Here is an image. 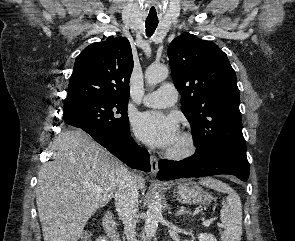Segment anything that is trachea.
I'll use <instances>...</instances> for the list:
<instances>
[{"label": "trachea", "mask_w": 295, "mask_h": 241, "mask_svg": "<svg viewBox=\"0 0 295 241\" xmlns=\"http://www.w3.org/2000/svg\"><path fill=\"white\" fill-rule=\"evenodd\" d=\"M158 25V20H146V34L151 37Z\"/></svg>", "instance_id": "trachea-1"}]
</instances>
